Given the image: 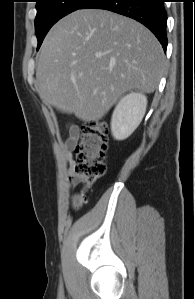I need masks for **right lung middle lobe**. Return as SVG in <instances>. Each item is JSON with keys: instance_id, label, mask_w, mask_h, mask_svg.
Instances as JSON below:
<instances>
[{"instance_id": "obj_1", "label": "right lung middle lobe", "mask_w": 195, "mask_h": 299, "mask_svg": "<svg viewBox=\"0 0 195 299\" xmlns=\"http://www.w3.org/2000/svg\"><path fill=\"white\" fill-rule=\"evenodd\" d=\"M88 0H37L35 32L38 49L49 29L65 15L80 9Z\"/></svg>"}]
</instances>
